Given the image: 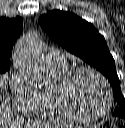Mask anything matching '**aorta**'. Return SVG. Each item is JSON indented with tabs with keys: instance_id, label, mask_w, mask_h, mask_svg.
<instances>
[{
	"instance_id": "obj_1",
	"label": "aorta",
	"mask_w": 125,
	"mask_h": 128,
	"mask_svg": "<svg viewBox=\"0 0 125 128\" xmlns=\"http://www.w3.org/2000/svg\"><path fill=\"white\" fill-rule=\"evenodd\" d=\"M39 42V38L35 33H29L23 37L16 45L14 59L16 64L38 86H47L50 83V78L41 58Z\"/></svg>"
}]
</instances>
